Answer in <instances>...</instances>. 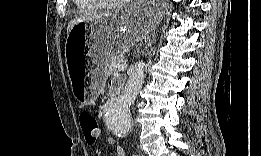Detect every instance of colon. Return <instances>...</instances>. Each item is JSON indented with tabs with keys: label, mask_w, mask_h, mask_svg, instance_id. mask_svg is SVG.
<instances>
[{
	"label": "colon",
	"mask_w": 261,
	"mask_h": 156,
	"mask_svg": "<svg viewBox=\"0 0 261 156\" xmlns=\"http://www.w3.org/2000/svg\"><path fill=\"white\" fill-rule=\"evenodd\" d=\"M79 124L86 143L94 144L99 134L98 122L95 116L89 111H82L79 114Z\"/></svg>",
	"instance_id": "colon-1"
}]
</instances>
